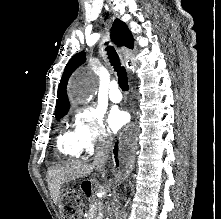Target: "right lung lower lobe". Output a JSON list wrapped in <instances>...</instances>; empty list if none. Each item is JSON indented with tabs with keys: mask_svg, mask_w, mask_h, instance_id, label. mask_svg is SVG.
<instances>
[{
	"mask_svg": "<svg viewBox=\"0 0 221 219\" xmlns=\"http://www.w3.org/2000/svg\"><path fill=\"white\" fill-rule=\"evenodd\" d=\"M117 151H118V143L115 145L114 153L116 154ZM115 159H116V162L118 163V160L116 157H115Z\"/></svg>",
	"mask_w": 221,
	"mask_h": 219,
	"instance_id": "right-lung-lower-lobe-1",
	"label": "right lung lower lobe"
}]
</instances>
